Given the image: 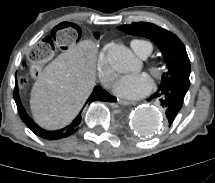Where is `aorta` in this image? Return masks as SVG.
Segmentation results:
<instances>
[{
    "label": "aorta",
    "mask_w": 215,
    "mask_h": 183,
    "mask_svg": "<svg viewBox=\"0 0 215 183\" xmlns=\"http://www.w3.org/2000/svg\"><path fill=\"white\" fill-rule=\"evenodd\" d=\"M107 59L111 67L121 73L129 72L134 64L132 52L124 45H115L108 54ZM132 129L143 135L156 133L163 125L162 113L155 107L142 106L133 111L130 116Z\"/></svg>",
    "instance_id": "obj_1"
}]
</instances>
